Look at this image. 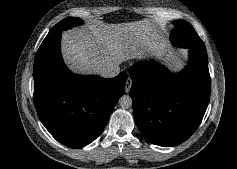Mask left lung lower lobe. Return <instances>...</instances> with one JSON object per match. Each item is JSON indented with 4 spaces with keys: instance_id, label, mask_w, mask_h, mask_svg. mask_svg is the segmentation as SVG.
<instances>
[{
    "instance_id": "0a47b994",
    "label": "left lung lower lobe",
    "mask_w": 237,
    "mask_h": 169,
    "mask_svg": "<svg viewBox=\"0 0 237 169\" xmlns=\"http://www.w3.org/2000/svg\"><path fill=\"white\" fill-rule=\"evenodd\" d=\"M188 49L189 64L178 74L146 61L129 70L135 121L153 144L170 147L184 142L207 109L211 81L206 48Z\"/></svg>"
}]
</instances>
